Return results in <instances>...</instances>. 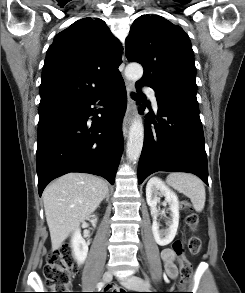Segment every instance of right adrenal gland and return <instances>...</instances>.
<instances>
[{
    "instance_id": "2a0ac1e0",
    "label": "right adrenal gland",
    "mask_w": 245,
    "mask_h": 293,
    "mask_svg": "<svg viewBox=\"0 0 245 293\" xmlns=\"http://www.w3.org/2000/svg\"><path fill=\"white\" fill-rule=\"evenodd\" d=\"M109 197H110V194L108 192L107 195H106V201H109Z\"/></svg>"
}]
</instances>
